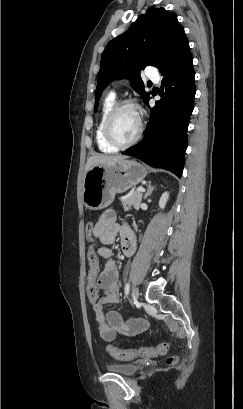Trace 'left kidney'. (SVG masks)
<instances>
[{
  "label": "left kidney",
  "instance_id": "5707ae66",
  "mask_svg": "<svg viewBox=\"0 0 243 409\" xmlns=\"http://www.w3.org/2000/svg\"><path fill=\"white\" fill-rule=\"evenodd\" d=\"M168 198H169V193H168V192H164V193L162 194L160 200H159V206H160V208L163 209V208L165 207V205H166V203H167V201H168Z\"/></svg>",
  "mask_w": 243,
  "mask_h": 409
}]
</instances>
